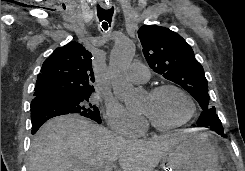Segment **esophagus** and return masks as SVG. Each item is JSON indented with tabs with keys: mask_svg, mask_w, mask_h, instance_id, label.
<instances>
[{
	"mask_svg": "<svg viewBox=\"0 0 245 171\" xmlns=\"http://www.w3.org/2000/svg\"><path fill=\"white\" fill-rule=\"evenodd\" d=\"M102 6H103L104 8H111L112 5H111V4H103Z\"/></svg>",
	"mask_w": 245,
	"mask_h": 171,
	"instance_id": "esophagus-1",
	"label": "esophagus"
}]
</instances>
